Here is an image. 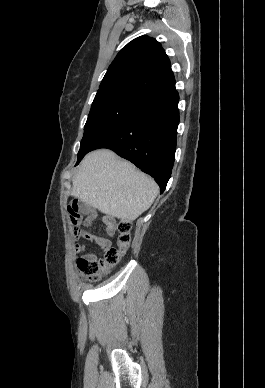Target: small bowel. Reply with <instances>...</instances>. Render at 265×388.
Listing matches in <instances>:
<instances>
[{"label": "small bowel", "mask_w": 265, "mask_h": 388, "mask_svg": "<svg viewBox=\"0 0 265 388\" xmlns=\"http://www.w3.org/2000/svg\"><path fill=\"white\" fill-rule=\"evenodd\" d=\"M96 216H97V214L95 212H90V214H89L90 219H93ZM103 222L105 224L107 233L109 235H113L115 233V224H114L113 220L109 217H104ZM85 238L90 240L91 242L95 243L102 250H108V248L110 247V242L106 238L97 236L94 233H88ZM83 250H84L83 245H76L75 251L80 252ZM82 257L90 259V260H97V256L95 253H87Z\"/></svg>", "instance_id": "small-bowel-1"}]
</instances>
